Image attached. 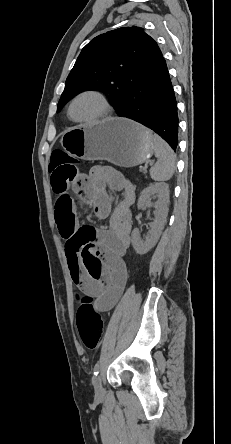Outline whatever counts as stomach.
I'll list each match as a JSON object with an SVG mask.
<instances>
[{"instance_id": "0dacf381", "label": "stomach", "mask_w": 231, "mask_h": 444, "mask_svg": "<svg viewBox=\"0 0 231 444\" xmlns=\"http://www.w3.org/2000/svg\"><path fill=\"white\" fill-rule=\"evenodd\" d=\"M60 142L74 157L107 160L121 167L140 165L154 152L153 134L144 126L119 117L69 128Z\"/></svg>"}]
</instances>
